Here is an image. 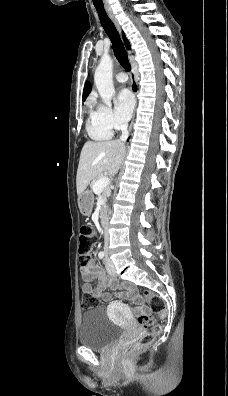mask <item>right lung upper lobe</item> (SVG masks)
<instances>
[{
	"mask_svg": "<svg viewBox=\"0 0 228 396\" xmlns=\"http://www.w3.org/2000/svg\"><path fill=\"white\" fill-rule=\"evenodd\" d=\"M123 39H124V42H125V44H126V47H127L128 49H130V44H129L128 40L126 39L124 33H123ZM90 91H91V86H90V84L87 82V83L85 84V86H84L83 100L86 99V97L89 95Z\"/></svg>",
	"mask_w": 228,
	"mask_h": 396,
	"instance_id": "right-lung-upper-lobe-1",
	"label": "right lung upper lobe"
}]
</instances>
